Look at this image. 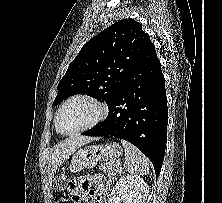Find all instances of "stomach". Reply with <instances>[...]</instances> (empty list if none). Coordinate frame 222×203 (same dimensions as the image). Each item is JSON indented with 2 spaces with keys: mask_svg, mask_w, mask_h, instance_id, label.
<instances>
[{
  "mask_svg": "<svg viewBox=\"0 0 222 203\" xmlns=\"http://www.w3.org/2000/svg\"><path fill=\"white\" fill-rule=\"evenodd\" d=\"M121 154L122 147L118 143L85 146L74 154L70 168L75 173L90 168L101 160H114Z\"/></svg>",
  "mask_w": 222,
  "mask_h": 203,
  "instance_id": "1",
  "label": "stomach"
}]
</instances>
